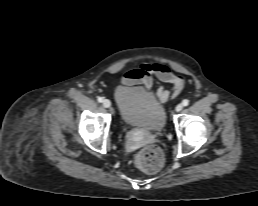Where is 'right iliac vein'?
I'll return each mask as SVG.
<instances>
[{"label": "right iliac vein", "instance_id": "1", "mask_svg": "<svg viewBox=\"0 0 258 206\" xmlns=\"http://www.w3.org/2000/svg\"><path fill=\"white\" fill-rule=\"evenodd\" d=\"M103 106H104L105 108H110V107H111V101L108 100V99H104V100H103Z\"/></svg>", "mask_w": 258, "mask_h": 206}]
</instances>
